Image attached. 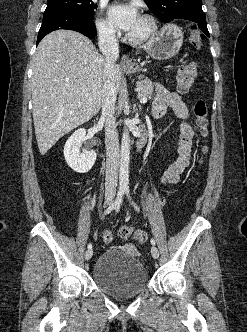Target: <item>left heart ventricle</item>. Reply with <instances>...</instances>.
I'll return each mask as SVG.
<instances>
[{"mask_svg":"<svg viewBox=\"0 0 247 332\" xmlns=\"http://www.w3.org/2000/svg\"><path fill=\"white\" fill-rule=\"evenodd\" d=\"M148 28L147 23L140 17L135 27L129 32L132 36H139L146 32Z\"/></svg>","mask_w":247,"mask_h":332,"instance_id":"b2bd125f","label":"left heart ventricle"}]
</instances>
